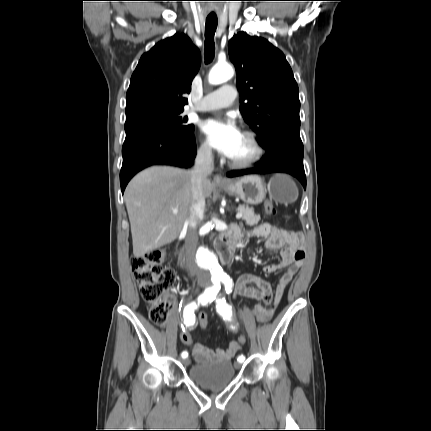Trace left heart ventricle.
<instances>
[{
  "label": "left heart ventricle",
  "mask_w": 431,
  "mask_h": 431,
  "mask_svg": "<svg viewBox=\"0 0 431 431\" xmlns=\"http://www.w3.org/2000/svg\"><path fill=\"white\" fill-rule=\"evenodd\" d=\"M252 153H253V148L251 143L245 136L242 135L236 150L234 151V153L230 158L234 160H242L250 157Z\"/></svg>",
  "instance_id": "obj_1"
}]
</instances>
